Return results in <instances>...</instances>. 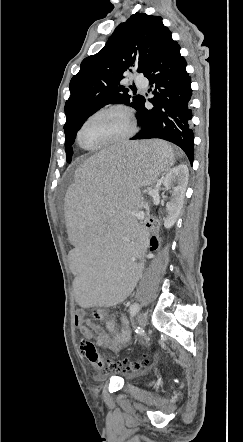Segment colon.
<instances>
[{
  "mask_svg": "<svg viewBox=\"0 0 243 442\" xmlns=\"http://www.w3.org/2000/svg\"><path fill=\"white\" fill-rule=\"evenodd\" d=\"M159 223L160 218L158 216H151L149 221L144 224V234L146 235L144 241L147 242L146 246L149 248L150 253L158 254L162 251L160 242L162 241L161 233L163 232V227L159 226ZM81 352L93 368L103 373L137 370L142 366L153 365L154 363L153 356H143L140 359L136 356H125L122 359L123 363L108 360L98 351L95 344L90 341L81 344Z\"/></svg>",
  "mask_w": 243,
  "mask_h": 442,
  "instance_id": "colon-1",
  "label": "colon"
}]
</instances>
